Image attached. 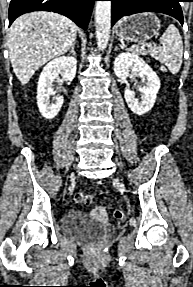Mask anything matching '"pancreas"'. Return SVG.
Segmentation results:
<instances>
[{"label":"pancreas","mask_w":193,"mask_h":287,"mask_svg":"<svg viewBox=\"0 0 193 287\" xmlns=\"http://www.w3.org/2000/svg\"><path fill=\"white\" fill-rule=\"evenodd\" d=\"M134 52L138 55H145L146 51L143 48H136Z\"/></svg>","instance_id":"1"}]
</instances>
